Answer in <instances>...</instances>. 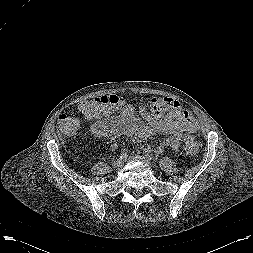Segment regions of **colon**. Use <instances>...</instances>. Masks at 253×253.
<instances>
[{"mask_svg":"<svg viewBox=\"0 0 253 253\" xmlns=\"http://www.w3.org/2000/svg\"><path fill=\"white\" fill-rule=\"evenodd\" d=\"M127 104L124 99L114 94L97 96L81 102L76 108V113H72V115H60L58 118L60 129L64 135L73 136L77 133L80 124L79 117L75 114H79L85 119H94L112 109H118ZM141 108L146 117L153 119H174L188 130L197 127V121L192 114L188 110L182 109L179 102L172 98L153 96L148 102V108ZM199 148L200 143L194 138H188L184 142V151L190 157L196 156Z\"/></svg>","mask_w":253,"mask_h":253,"instance_id":"obj_1","label":"colon"}]
</instances>
